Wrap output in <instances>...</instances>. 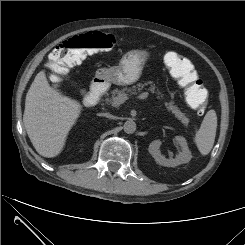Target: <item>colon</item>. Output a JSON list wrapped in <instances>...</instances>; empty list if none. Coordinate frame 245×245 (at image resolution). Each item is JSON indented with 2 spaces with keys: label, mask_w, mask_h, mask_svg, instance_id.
Listing matches in <instances>:
<instances>
[{
  "label": "colon",
  "mask_w": 245,
  "mask_h": 245,
  "mask_svg": "<svg viewBox=\"0 0 245 245\" xmlns=\"http://www.w3.org/2000/svg\"><path fill=\"white\" fill-rule=\"evenodd\" d=\"M116 43L112 34L100 31L78 35L62 42L51 53L48 62L53 76L60 80L70 67L81 63L88 55L112 49ZM173 76L185 87L187 103L202 115L208 104V91L203 82L185 73V58L171 53L166 59Z\"/></svg>",
  "instance_id": "1"
}]
</instances>
